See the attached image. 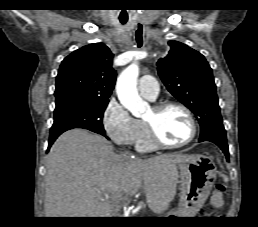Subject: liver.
Wrapping results in <instances>:
<instances>
[{
	"instance_id": "6515ba94",
	"label": "liver",
	"mask_w": 258,
	"mask_h": 227,
	"mask_svg": "<svg viewBox=\"0 0 258 227\" xmlns=\"http://www.w3.org/2000/svg\"><path fill=\"white\" fill-rule=\"evenodd\" d=\"M187 155L147 159L118 155L110 142L87 130L72 129L53 144L46 160V217H111L117 201L143 184L146 202L156 214L176 195L177 165Z\"/></svg>"
}]
</instances>
